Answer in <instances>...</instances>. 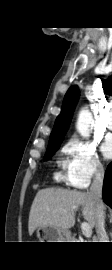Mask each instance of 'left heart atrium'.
<instances>
[{
    "label": "left heart atrium",
    "mask_w": 112,
    "mask_h": 270,
    "mask_svg": "<svg viewBox=\"0 0 112 270\" xmlns=\"http://www.w3.org/2000/svg\"><path fill=\"white\" fill-rule=\"evenodd\" d=\"M102 153L105 158H112V138H108L102 144Z\"/></svg>",
    "instance_id": "left-heart-atrium-1"
}]
</instances>
